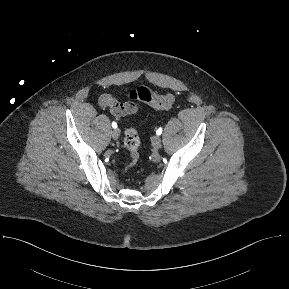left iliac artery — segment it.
Masks as SVG:
<instances>
[{"label": "left iliac artery", "mask_w": 289, "mask_h": 289, "mask_svg": "<svg viewBox=\"0 0 289 289\" xmlns=\"http://www.w3.org/2000/svg\"><path fill=\"white\" fill-rule=\"evenodd\" d=\"M161 133H162V128L160 127V128L156 131V134H157V135H161Z\"/></svg>", "instance_id": "obj_1"}]
</instances>
